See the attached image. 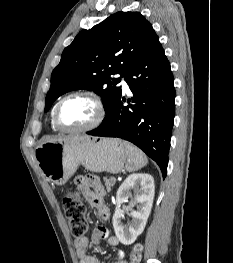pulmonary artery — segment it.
I'll use <instances>...</instances> for the list:
<instances>
[{"instance_id": "obj_1", "label": "pulmonary artery", "mask_w": 233, "mask_h": 263, "mask_svg": "<svg viewBox=\"0 0 233 263\" xmlns=\"http://www.w3.org/2000/svg\"><path fill=\"white\" fill-rule=\"evenodd\" d=\"M122 88L124 91H129V87H128V84L126 82V80L124 79V77L121 78V82H120Z\"/></svg>"}]
</instances>
